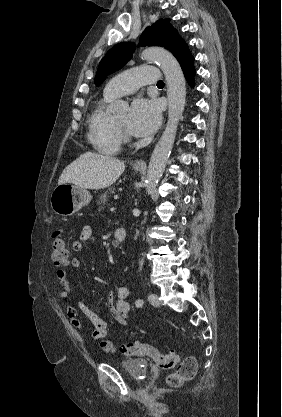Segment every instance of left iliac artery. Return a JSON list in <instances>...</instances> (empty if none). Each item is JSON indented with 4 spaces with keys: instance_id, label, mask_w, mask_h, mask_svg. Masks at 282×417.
Listing matches in <instances>:
<instances>
[{
    "instance_id": "left-iliac-artery-1",
    "label": "left iliac artery",
    "mask_w": 282,
    "mask_h": 417,
    "mask_svg": "<svg viewBox=\"0 0 282 417\" xmlns=\"http://www.w3.org/2000/svg\"><path fill=\"white\" fill-rule=\"evenodd\" d=\"M135 304H136L137 307H141L143 305V300L138 299V300H136Z\"/></svg>"
}]
</instances>
